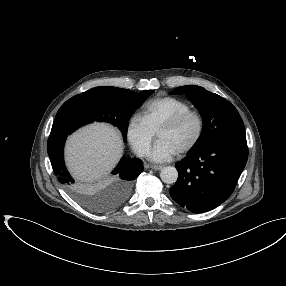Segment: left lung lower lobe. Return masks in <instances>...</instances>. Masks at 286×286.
I'll return each mask as SVG.
<instances>
[{
	"mask_svg": "<svg viewBox=\"0 0 286 286\" xmlns=\"http://www.w3.org/2000/svg\"><path fill=\"white\" fill-rule=\"evenodd\" d=\"M247 158V143L234 140L190 150L176 163L178 180L169 190L170 196L194 213L212 210L232 194Z\"/></svg>",
	"mask_w": 286,
	"mask_h": 286,
	"instance_id": "obj_1",
	"label": "left lung lower lobe"
}]
</instances>
